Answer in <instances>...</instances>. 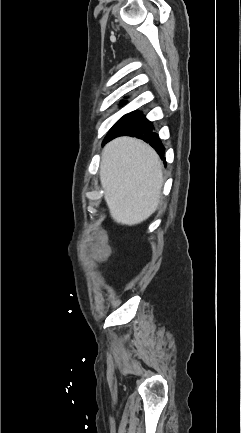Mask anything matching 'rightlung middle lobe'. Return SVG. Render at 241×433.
<instances>
[{
	"instance_id": "right-lung-middle-lobe-1",
	"label": "right lung middle lobe",
	"mask_w": 241,
	"mask_h": 433,
	"mask_svg": "<svg viewBox=\"0 0 241 433\" xmlns=\"http://www.w3.org/2000/svg\"><path fill=\"white\" fill-rule=\"evenodd\" d=\"M141 116H142V113H140V112H131L129 114L124 115L120 120H118L113 125V127L109 130L106 137L125 131L129 126H131Z\"/></svg>"
}]
</instances>
